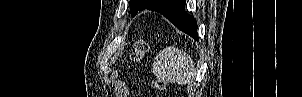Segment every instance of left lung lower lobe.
Wrapping results in <instances>:
<instances>
[{"mask_svg": "<svg viewBox=\"0 0 302 97\" xmlns=\"http://www.w3.org/2000/svg\"><path fill=\"white\" fill-rule=\"evenodd\" d=\"M185 0H148L141 10L149 9L163 14L178 29L198 41L197 24L194 17L185 11Z\"/></svg>", "mask_w": 302, "mask_h": 97, "instance_id": "obj_1", "label": "left lung lower lobe"}]
</instances>
